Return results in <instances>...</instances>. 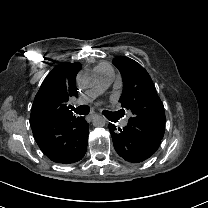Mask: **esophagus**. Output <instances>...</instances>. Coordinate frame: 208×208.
Returning a JSON list of instances; mask_svg holds the SVG:
<instances>
[{
  "label": "esophagus",
  "instance_id": "1",
  "mask_svg": "<svg viewBox=\"0 0 208 208\" xmlns=\"http://www.w3.org/2000/svg\"><path fill=\"white\" fill-rule=\"evenodd\" d=\"M96 116H97V114H91V115L87 116L86 119H87L88 121H92Z\"/></svg>",
  "mask_w": 208,
  "mask_h": 208
}]
</instances>
